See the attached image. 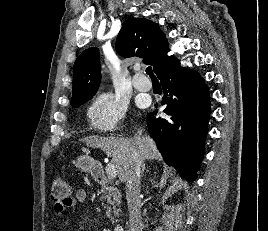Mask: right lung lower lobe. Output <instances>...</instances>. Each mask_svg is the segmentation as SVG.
<instances>
[{"mask_svg":"<svg viewBox=\"0 0 268 231\" xmlns=\"http://www.w3.org/2000/svg\"><path fill=\"white\" fill-rule=\"evenodd\" d=\"M164 97L161 105L166 118L147 114L151 137L157 141L165 162L174 166L188 181L197 177L208 132L210 101L207 86L198 74L179 63L158 76Z\"/></svg>","mask_w":268,"mask_h":231,"instance_id":"right-lung-lower-lobe-1","label":"right lung lower lobe"}]
</instances>
